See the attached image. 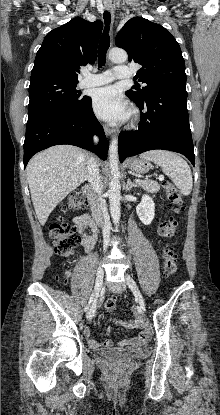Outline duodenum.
Returning a JSON list of instances; mask_svg holds the SVG:
<instances>
[{
    "label": "duodenum",
    "instance_id": "obj_1",
    "mask_svg": "<svg viewBox=\"0 0 220 415\" xmlns=\"http://www.w3.org/2000/svg\"><path fill=\"white\" fill-rule=\"evenodd\" d=\"M84 193L88 198V203L91 211V216L95 224H98L102 220V211L98 206V203L94 197V190L91 186H86L84 188Z\"/></svg>",
    "mask_w": 220,
    "mask_h": 415
}]
</instances>
